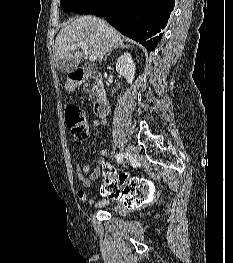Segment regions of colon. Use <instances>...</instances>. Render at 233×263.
Segmentation results:
<instances>
[{
  "mask_svg": "<svg viewBox=\"0 0 233 263\" xmlns=\"http://www.w3.org/2000/svg\"><path fill=\"white\" fill-rule=\"evenodd\" d=\"M65 122L76 144L83 142L89 133V127L83 111L69 105L65 110ZM134 169L120 171V176L115 171H102L105 182L102 194L107 195L111 202H122L123 208H145L148 202H153L155 195V182H148L147 178L132 177Z\"/></svg>",
  "mask_w": 233,
  "mask_h": 263,
  "instance_id": "1",
  "label": "colon"
}]
</instances>
